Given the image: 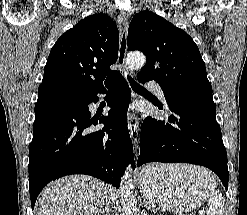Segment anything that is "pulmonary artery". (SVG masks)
<instances>
[{
    "label": "pulmonary artery",
    "instance_id": "pulmonary-artery-1",
    "mask_svg": "<svg viewBox=\"0 0 247 215\" xmlns=\"http://www.w3.org/2000/svg\"><path fill=\"white\" fill-rule=\"evenodd\" d=\"M147 86L157 95L159 96L161 99H164V93L163 90L161 88V86L155 82V81H148L147 82Z\"/></svg>",
    "mask_w": 247,
    "mask_h": 215
}]
</instances>
